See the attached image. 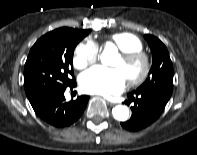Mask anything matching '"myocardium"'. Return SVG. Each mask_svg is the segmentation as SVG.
<instances>
[{"instance_id":"1","label":"myocardium","mask_w":197,"mask_h":155,"mask_svg":"<svg viewBox=\"0 0 197 155\" xmlns=\"http://www.w3.org/2000/svg\"><path fill=\"white\" fill-rule=\"evenodd\" d=\"M120 56L125 63L139 62L141 64L140 74L127 79L129 85L139 86L143 84L149 77L151 71V61L149 56L142 50L121 51Z\"/></svg>"}]
</instances>
